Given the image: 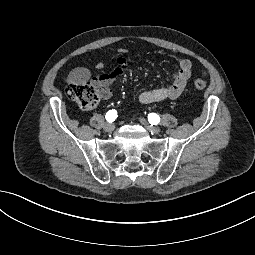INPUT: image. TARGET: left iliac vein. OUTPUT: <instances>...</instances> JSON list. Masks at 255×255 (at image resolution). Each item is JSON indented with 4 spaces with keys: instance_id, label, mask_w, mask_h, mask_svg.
I'll list each match as a JSON object with an SVG mask.
<instances>
[{
    "instance_id": "left-iliac-vein-1",
    "label": "left iliac vein",
    "mask_w": 255,
    "mask_h": 255,
    "mask_svg": "<svg viewBox=\"0 0 255 255\" xmlns=\"http://www.w3.org/2000/svg\"><path fill=\"white\" fill-rule=\"evenodd\" d=\"M140 122L143 125L144 128H146L148 131L158 134L160 132V128L158 126L151 125L147 120L144 118H140Z\"/></svg>"
}]
</instances>
